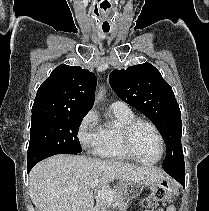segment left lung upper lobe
Wrapping results in <instances>:
<instances>
[{"label":"left lung upper lobe","instance_id":"obj_1","mask_svg":"<svg viewBox=\"0 0 209 211\" xmlns=\"http://www.w3.org/2000/svg\"><path fill=\"white\" fill-rule=\"evenodd\" d=\"M109 82L120 99L145 114L155 124L167 145L163 169L184 165L181 145V113L172 88L150 63L114 70Z\"/></svg>","mask_w":209,"mask_h":211}]
</instances>
